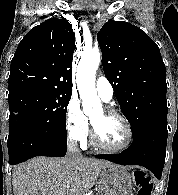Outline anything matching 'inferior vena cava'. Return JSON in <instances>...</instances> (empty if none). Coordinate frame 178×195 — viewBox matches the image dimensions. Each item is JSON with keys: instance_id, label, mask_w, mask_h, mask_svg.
<instances>
[{"instance_id": "inferior-vena-cava-1", "label": "inferior vena cava", "mask_w": 178, "mask_h": 195, "mask_svg": "<svg viewBox=\"0 0 178 195\" xmlns=\"http://www.w3.org/2000/svg\"><path fill=\"white\" fill-rule=\"evenodd\" d=\"M67 157L71 164H75L80 158H82L81 150L78 148L77 141L73 138L68 139Z\"/></svg>"}]
</instances>
